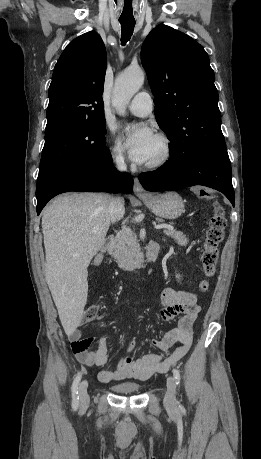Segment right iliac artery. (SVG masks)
<instances>
[{
    "instance_id": "right-iliac-artery-1",
    "label": "right iliac artery",
    "mask_w": 261,
    "mask_h": 459,
    "mask_svg": "<svg viewBox=\"0 0 261 459\" xmlns=\"http://www.w3.org/2000/svg\"><path fill=\"white\" fill-rule=\"evenodd\" d=\"M81 378H82V374L79 373L74 379V382L72 384V407L75 410L79 406L78 388H79Z\"/></svg>"
}]
</instances>
